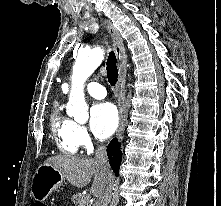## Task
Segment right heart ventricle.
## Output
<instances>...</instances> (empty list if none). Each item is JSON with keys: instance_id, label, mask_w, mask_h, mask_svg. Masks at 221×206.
<instances>
[{"instance_id": "e07e8e85", "label": "right heart ventricle", "mask_w": 221, "mask_h": 206, "mask_svg": "<svg viewBox=\"0 0 221 206\" xmlns=\"http://www.w3.org/2000/svg\"><path fill=\"white\" fill-rule=\"evenodd\" d=\"M63 93H66L63 88ZM50 129L53 141L59 150L67 154H75L79 148L77 140V124L63 114L59 99L54 100L51 116Z\"/></svg>"}]
</instances>
